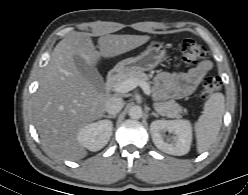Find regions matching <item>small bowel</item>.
<instances>
[{"instance_id":"small-bowel-1","label":"small bowel","mask_w":248,"mask_h":195,"mask_svg":"<svg viewBox=\"0 0 248 195\" xmlns=\"http://www.w3.org/2000/svg\"><path fill=\"white\" fill-rule=\"evenodd\" d=\"M212 68L209 61H203L186 71L162 72L156 80L160 95L165 99H181L191 95Z\"/></svg>"}]
</instances>
